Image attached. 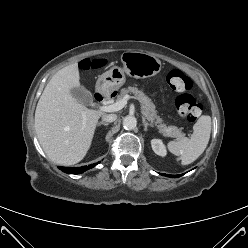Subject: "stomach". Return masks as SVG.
I'll return each instance as SVG.
<instances>
[{"instance_id":"1","label":"stomach","mask_w":248,"mask_h":248,"mask_svg":"<svg viewBox=\"0 0 248 248\" xmlns=\"http://www.w3.org/2000/svg\"><path fill=\"white\" fill-rule=\"evenodd\" d=\"M123 67L113 66L97 80L96 90L104 95L117 91L126 81V75L134 78H148L157 75L162 68L161 61L150 54L126 51L121 54Z\"/></svg>"}]
</instances>
